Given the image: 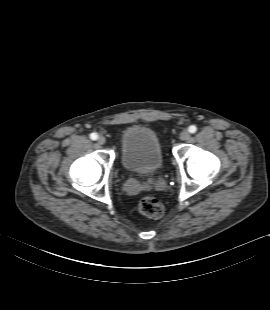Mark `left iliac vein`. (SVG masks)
Listing matches in <instances>:
<instances>
[{"label": "left iliac vein", "instance_id": "4c4485c4", "mask_svg": "<svg viewBox=\"0 0 270 310\" xmlns=\"http://www.w3.org/2000/svg\"><path fill=\"white\" fill-rule=\"evenodd\" d=\"M189 137H190V133H189L188 130H183V131L180 133V135H179V138H180V140H182V141L188 140Z\"/></svg>", "mask_w": 270, "mask_h": 310}]
</instances>
